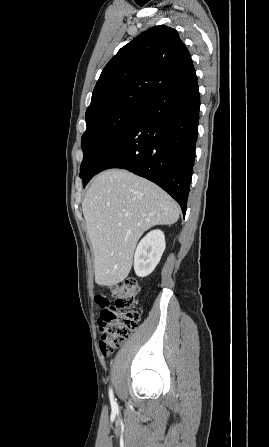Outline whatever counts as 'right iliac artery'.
<instances>
[{
  "instance_id": "right-iliac-artery-1",
  "label": "right iliac artery",
  "mask_w": 269,
  "mask_h": 447,
  "mask_svg": "<svg viewBox=\"0 0 269 447\" xmlns=\"http://www.w3.org/2000/svg\"><path fill=\"white\" fill-rule=\"evenodd\" d=\"M109 395H110L111 406H112V408L114 409V408L117 407V404H116V402H115V400H114L113 391H112L111 389L109 390Z\"/></svg>"
}]
</instances>
